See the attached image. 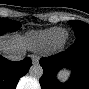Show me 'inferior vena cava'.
Here are the masks:
<instances>
[{
  "label": "inferior vena cava",
  "instance_id": "obj_1",
  "mask_svg": "<svg viewBox=\"0 0 89 89\" xmlns=\"http://www.w3.org/2000/svg\"><path fill=\"white\" fill-rule=\"evenodd\" d=\"M7 58L13 61H18L24 58L25 52L20 49H11L6 54Z\"/></svg>",
  "mask_w": 89,
  "mask_h": 89
}]
</instances>
